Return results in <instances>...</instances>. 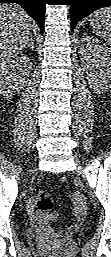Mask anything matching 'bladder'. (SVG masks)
<instances>
[{"label":"bladder","instance_id":"obj_1","mask_svg":"<svg viewBox=\"0 0 111 257\" xmlns=\"http://www.w3.org/2000/svg\"><path fill=\"white\" fill-rule=\"evenodd\" d=\"M58 236L62 237L65 243H69L74 239L72 235L67 233H59Z\"/></svg>","mask_w":111,"mask_h":257}]
</instances>
